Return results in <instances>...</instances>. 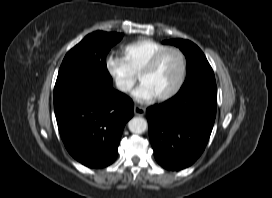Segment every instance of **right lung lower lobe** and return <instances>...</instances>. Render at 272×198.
Instances as JSON below:
<instances>
[{"instance_id":"1","label":"right lung lower lobe","mask_w":272,"mask_h":198,"mask_svg":"<svg viewBox=\"0 0 272 198\" xmlns=\"http://www.w3.org/2000/svg\"><path fill=\"white\" fill-rule=\"evenodd\" d=\"M54 110L61 138L72 157L88 167L102 168L116 159L134 105L112 86L84 84L54 95Z\"/></svg>"}]
</instances>
